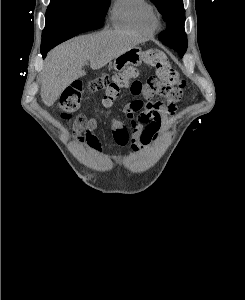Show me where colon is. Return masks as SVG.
<instances>
[{
  "label": "colon",
  "instance_id": "obj_1",
  "mask_svg": "<svg viewBox=\"0 0 245 300\" xmlns=\"http://www.w3.org/2000/svg\"><path fill=\"white\" fill-rule=\"evenodd\" d=\"M145 62L156 70V77L149 79L146 85L153 93L164 96L170 102L180 99L182 91L186 86L178 71L171 65L167 56L160 50H149L145 53ZM138 70L129 67L122 72L110 76L106 72L99 73L89 83L91 90H105L102 100L103 109H109L119 97L123 89L136 91L139 81L135 80ZM84 92L82 82L75 81L69 85L61 94L59 106L62 110V117L69 120L71 115L79 108ZM132 106L139 109L142 106L140 100H134Z\"/></svg>",
  "mask_w": 245,
  "mask_h": 300
}]
</instances>
